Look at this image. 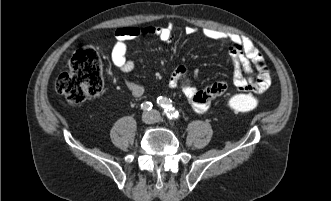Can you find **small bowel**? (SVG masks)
I'll list each match as a JSON object with an SVG mask.
<instances>
[{
	"label": "small bowel",
	"mask_w": 331,
	"mask_h": 201,
	"mask_svg": "<svg viewBox=\"0 0 331 201\" xmlns=\"http://www.w3.org/2000/svg\"><path fill=\"white\" fill-rule=\"evenodd\" d=\"M185 32L194 34L198 30L193 26H187ZM201 33L211 40L229 42L228 53L234 63L233 84L238 90L260 93L269 87L271 78L268 65L250 39L212 28H203ZM146 37H156L168 43L174 38V28L170 23L163 26L118 28L115 31V42L111 51L112 63L124 73L133 71L135 65L127 58V44L131 40ZM169 86L173 89L180 87L193 110L199 114L204 113L211 101L227 89L225 81H216L203 89H197L188 80L187 69L184 66H178L173 70L169 78ZM127 88L134 98H140L144 94V87L136 82L128 81Z\"/></svg>",
	"instance_id": "c3829d8e"
}]
</instances>
